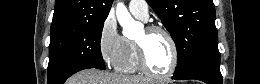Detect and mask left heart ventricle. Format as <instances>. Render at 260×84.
<instances>
[{"mask_svg": "<svg viewBox=\"0 0 260 84\" xmlns=\"http://www.w3.org/2000/svg\"><path fill=\"white\" fill-rule=\"evenodd\" d=\"M137 41L144 44L146 61L154 72L165 73L170 68L171 47L165 35L147 34L144 30Z\"/></svg>", "mask_w": 260, "mask_h": 84, "instance_id": "b2bd125f", "label": "left heart ventricle"}]
</instances>
